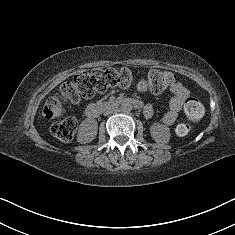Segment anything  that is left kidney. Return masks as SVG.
Segmentation results:
<instances>
[{"label":"left kidney","mask_w":235,"mask_h":235,"mask_svg":"<svg viewBox=\"0 0 235 235\" xmlns=\"http://www.w3.org/2000/svg\"><path fill=\"white\" fill-rule=\"evenodd\" d=\"M150 132L154 140L162 143H167L170 139V130L167 126L153 123L150 127Z\"/></svg>","instance_id":"5707ae66"}]
</instances>
